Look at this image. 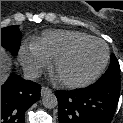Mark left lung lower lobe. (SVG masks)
Returning <instances> with one entry per match:
<instances>
[{
  "instance_id": "0a47b994",
  "label": "left lung lower lobe",
  "mask_w": 123,
  "mask_h": 123,
  "mask_svg": "<svg viewBox=\"0 0 123 123\" xmlns=\"http://www.w3.org/2000/svg\"><path fill=\"white\" fill-rule=\"evenodd\" d=\"M120 85L96 82L76 91H56L59 123H111Z\"/></svg>"
}]
</instances>
